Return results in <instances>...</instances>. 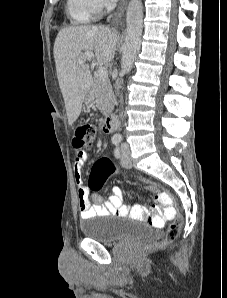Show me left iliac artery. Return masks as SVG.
Returning <instances> with one entry per match:
<instances>
[{
  "instance_id": "44dca946",
  "label": "left iliac artery",
  "mask_w": 227,
  "mask_h": 298,
  "mask_svg": "<svg viewBox=\"0 0 227 298\" xmlns=\"http://www.w3.org/2000/svg\"><path fill=\"white\" fill-rule=\"evenodd\" d=\"M115 157L119 158L120 157V152H119V148H116L114 151Z\"/></svg>"
}]
</instances>
